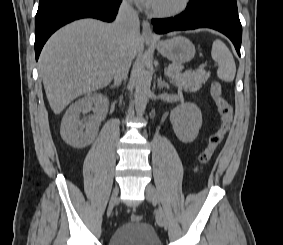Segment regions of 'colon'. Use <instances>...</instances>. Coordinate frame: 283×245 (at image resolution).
Returning <instances> with one entry per match:
<instances>
[{
  "label": "colon",
  "mask_w": 283,
  "mask_h": 245,
  "mask_svg": "<svg viewBox=\"0 0 283 245\" xmlns=\"http://www.w3.org/2000/svg\"><path fill=\"white\" fill-rule=\"evenodd\" d=\"M210 92L220 117V126L217 131L210 136L206 148L199 155L198 165L196 167L197 170L202 169L211 160L215 151L229 132L233 120V109L228 100L223 96L221 84L213 82ZM131 221L140 222L141 216L134 213L131 215Z\"/></svg>",
  "instance_id": "5ec220e1"
}]
</instances>
